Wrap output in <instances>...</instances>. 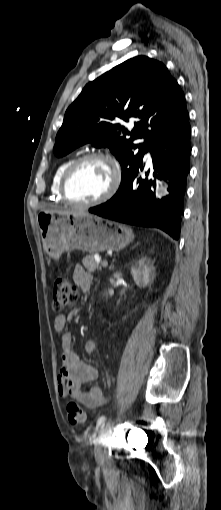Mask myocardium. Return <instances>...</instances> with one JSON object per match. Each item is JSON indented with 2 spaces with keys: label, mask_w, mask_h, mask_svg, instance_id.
I'll list each match as a JSON object with an SVG mask.
<instances>
[{
  "label": "myocardium",
  "mask_w": 221,
  "mask_h": 510,
  "mask_svg": "<svg viewBox=\"0 0 221 510\" xmlns=\"http://www.w3.org/2000/svg\"><path fill=\"white\" fill-rule=\"evenodd\" d=\"M89 160H101L107 163L112 170V183L108 190L99 198L89 202H78L73 200L69 196L67 189L68 182L76 168L82 163ZM121 180H122L121 170L119 168L118 163L111 155L103 152H90L77 157L69 164V166L66 168L62 175L59 190L63 200L67 202L69 205L77 208H91L110 200L118 192L121 185Z\"/></svg>",
  "instance_id": "f54148a6"
}]
</instances>
